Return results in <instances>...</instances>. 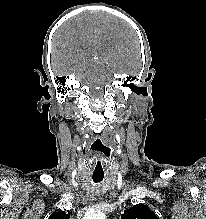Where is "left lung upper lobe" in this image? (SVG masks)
<instances>
[{"label":"left lung upper lobe","instance_id":"5c2ea615","mask_svg":"<svg viewBox=\"0 0 206 219\" xmlns=\"http://www.w3.org/2000/svg\"><path fill=\"white\" fill-rule=\"evenodd\" d=\"M121 219H158V217L146 205L137 204L125 210Z\"/></svg>","mask_w":206,"mask_h":219}]
</instances>
